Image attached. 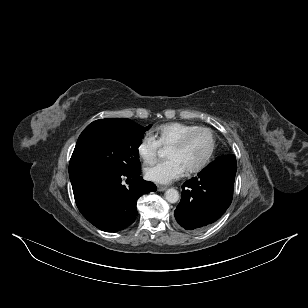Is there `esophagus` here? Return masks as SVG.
Masks as SVG:
<instances>
[{
	"instance_id": "obj_1",
	"label": "esophagus",
	"mask_w": 308,
	"mask_h": 308,
	"mask_svg": "<svg viewBox=\"0 0 308 308\" xmlns=\"http://www.w3.org/2000/svg\"><path fill=\"white\" fill-rule=\"evenodd\" d=\"M166 189H167V186L157 185V190L160 192L165 191Z\"/></svg>"
}]
</instances>
